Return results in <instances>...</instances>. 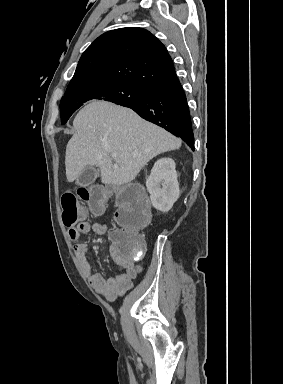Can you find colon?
I'll use <instances>...</instances> for the list:
<instances>
[{"instance_id": "1", "label": "colon", "mask_w": 283, "mask_h": 384, "mask_svg": "<svg viewBox=\"0 0 283 384\" xmlns=\"http://www.w3.org/2000/svg\"><path fill=\"white\" fill-rule=\"evenodd\" d=\"M111 197H114L116 205V229L111 234L112 244L124 259L139 260L145 254L140 229L148 223L149 211L138 186L125 184L111 189L95 185L79 188L75 193H65L62 196L63 222L68 227H74L86 218L88 212L103 213Z\"/></svg>"}]
</instances>
